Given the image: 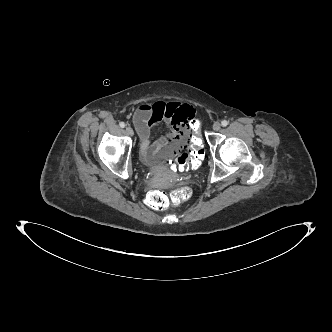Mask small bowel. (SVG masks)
<instances>
[{
    "label": "small bowel",
    "mask_w": 332,
    "mask_h": 332,
    "mask_svg": "<svg viewBox=\"0 0 332 332\" xmlns=\"http://www.w3.org/2000/svg\"><path fill=\"white\" fill-rule=\"evenodd\" d=\"M193 106L179 101L143 103L135 111L133 121L141 137V154L147 163L165 166L171 157L178 156L191 136L189 123L195 118ZM163 122L169 133L151 141L152 132Z\"/></svg>",
    "instance_id": "c3829d8e"
}]
</instances>
